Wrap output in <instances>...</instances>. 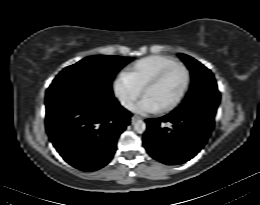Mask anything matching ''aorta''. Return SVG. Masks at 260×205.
<instances>
[{
  "instance_id": "1",
  "label": "aorta",
  "mask_w": 260,
  "mask_h": 205,
  "mask_svg": "<svg viewBox=\"0 0 260 205\" xmlns=\"http://www.w3.org/2000/svg\"><path fill=\"white\" fill-rule=\"evenodd\" d=\"M133 125H134V130L139 134L144 133L146 130V124L143 120H137L133 123Z\"/></svg>"
}]
</instances>
